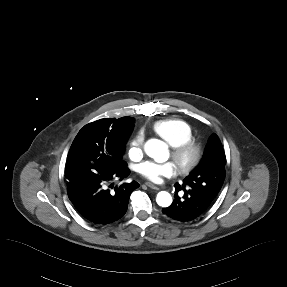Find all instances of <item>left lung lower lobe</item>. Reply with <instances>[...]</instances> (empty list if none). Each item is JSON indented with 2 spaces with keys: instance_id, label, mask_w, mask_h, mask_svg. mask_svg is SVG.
I'll return each instance as SVG.
<instances>
[{
  "instance_id": "left-lung-lower-lobe-1",
  "label": "left lung lower lobe",
  "mask_w": 287,
  "mask_h": 287,
  "mask_svg": "<svg viewBox=\"0 0 287 287\" xmlns=\"http://www.w3.org/2000/svg\"><path fill=\"white\" fill-rule=\"evenodd\" d=\"M174 186L176 192L182 189L185 194L183 198H180L176 194L173 203L169 207L162 209V212L170 218L183 222L193 220L203 214L213 203L201 194H197L193 190L185 188L178 183Z\"/></svg>"
}]
</instances>
